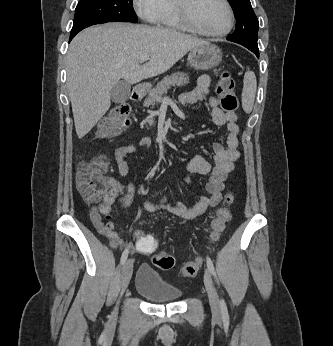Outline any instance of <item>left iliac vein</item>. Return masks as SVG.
Instances as JSON below:
<instances>
[{"label":"left iliac vein","instance_id":"1","mask_svg":"<svg viewBox=\"0 0 333 346\" xmlns=\"http://www.w3.org/2000/svg\"><path fill=\"white\" fill-rule=\"evenodd\" d=\"M204 285L208 294L209 303L213 313L216 315H220L221 313L220 301L218 298L217 291L214 287L210 272L208 270H206L204 274Z\"/></svg>","mask_w":333,"mask_h":346}]
</instances>
